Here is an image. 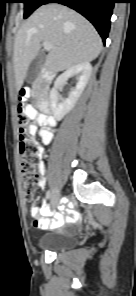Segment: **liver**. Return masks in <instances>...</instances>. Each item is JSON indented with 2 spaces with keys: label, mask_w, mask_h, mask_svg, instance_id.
I'll use <instances>...</instances> for the list:
<instances>
[{
  "label": "liver",
  "mask_w": 136,
  "mask_h": 296,
  "mask_svg": "<svg viewBox=\"0 0 136 296\" xmlns=\"http://www.w3.org/2000/svg\"><path fill=\"white\" fill-rule=\"evenodd\" d=\"M49 42L45 69L55 74L82 62H90L102 50V40L93 25L76 11L58 4L40 6L15 36L13 63L16 89L20 90L30 63Z\"/></svg>",
  "instance_id": "1"
}]
</instances>
